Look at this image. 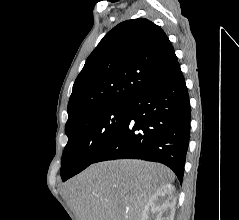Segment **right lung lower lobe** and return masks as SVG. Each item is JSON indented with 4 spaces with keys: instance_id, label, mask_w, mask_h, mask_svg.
Returning a JSON list of instances; mask_svg holds the SVG:
<instances>
[{
    "instance_id": "98d812e1",
    "label": "right lung lower lobe",
    "mask_w": 239,
    "mask_h": 220,
    "mask_svg": "<svg viewBox=\"0 0 239 220\" xmlns=\"http://www.w3.org/2000/svg\"><path fill=\"white\" fill-rule=\"evenodd\" d=\"M189 135V96L177 62L127 102L125 121L93 163L113 159L160 162L182 183Z\"/></svg>"
}]
</instances>
